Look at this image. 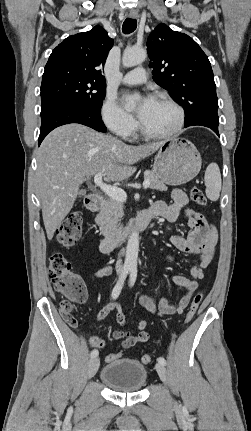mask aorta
<instances>
[{
    "mask_svg": "<svg viewBox=\"0 0 251 431\" xmlns=\"http://www.w3.org/2000/svg\"><path fill=\"white\" fill-rule=\"evenodd\" d=\"M146 57L147 53L143 48L129 47L126 48L123 53L122 63L125 67H133L141 64L146 59ZM138 251L139 234L134 229L128 238L125 258L126 267L131 270H136L137 268Z\"/></svg>",
    "mask_w": 251,
    "mask_h": 431,
    "instance_id": "762f6f07",
    "label": "aorta"
}]
</instances>
